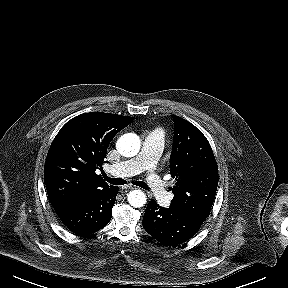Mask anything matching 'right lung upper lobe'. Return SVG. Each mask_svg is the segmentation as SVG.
I'll return each instance as SVG.
<instances>
[{
	"label": "right lung upper lobe",
	"instance_id": "1",
	"mask_svg": "<svg viewBox=\"0 0 288 288\" xmlns=\"http://www.w3.org/2000/svg\"><path fill=\"white\" fill-rule=\"evenodd\" d=\"M133 120V117L91 112L74 117L61 128L44 167L47 194L53 207L111 187L95 170L102 168L114 136Z\"/></svg>",
	"mask_w": 288,
	"mask_h": 288
}]
</instances>
